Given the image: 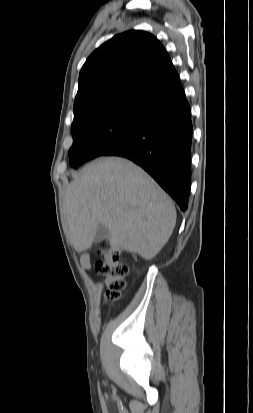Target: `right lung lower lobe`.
<instances>
[{
    "label": "right lung lower lobe",
    "mask_w": 253,
    "mask_h": 413,
    "mask_svg": "<svg viewBox=\"0 0 253 413\" xmlns=\"http://www.w3.org/2000/svg\"><path fill=\"white\" fill-rule=\"evenodd\" d=\"M192 132L185 98L154 109L140 130L102 155L125 157L141 166L185 211L191 187Z\"/></svg>",
    "instance_id": "right-lung-lower-lobe-1"
}]
</instances>
